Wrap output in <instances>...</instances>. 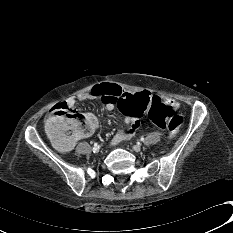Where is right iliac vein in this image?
<instances>
[{"label":"right iliac vein","mask_w":233,"mask_h":233,"mask_svg":"<svg viewBox=\"0 0 233 233\" xmlns=\"http://www.w3.org/2000/svg\"><path fill=\"white\" fill-rule=\"evenodd\" d=\"M97 153L99 151V148H93V152Z\"/></svg>","instance_id":"63e3f726"}]
</instances>
